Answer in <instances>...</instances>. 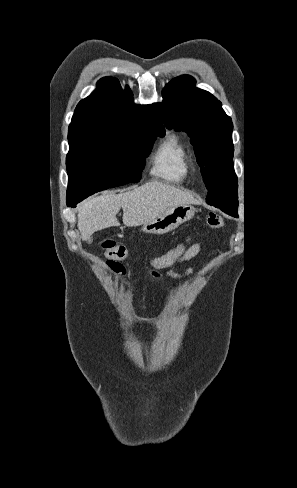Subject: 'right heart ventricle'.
Masks as SVG:
<instances>
[{"label": "right heart ventricle", "instance_id": "e07e8e85", "mask_svg": "<svg viewBox=\"0 0 297 488\" xmlns=\"http://www.w3.org/2000/svg\"><path fill=\"white\" fill-rule=\"evenodd\" d=\"M190 155L181 138L169 133L156 146L150 162V174L168 182H181L189 174Z\"/></svg>", "mask_w": 297, "mask_h": 488}]
</instances>
